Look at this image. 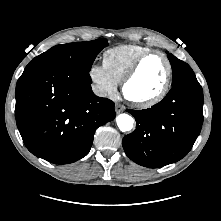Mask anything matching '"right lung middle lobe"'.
<instances>
[{
	"instance_id": "right-lung-middle-lobe-1",
	"label": "right lung middle lobe",
	"mask_w": 221,
	"mask_h": 221,
	"mask_svg": "<svg viewBox=\"0 0 221 221\" xmlns=\"http://www.w3.org/2000/svg\"><path fill=\"white\" fill-rule=\"evenodd\" d=\"M106 46L105 39L57 45L35 57L27 66L61 65L89 72L97 54Z\"/></svg>"
}]
</instances>
